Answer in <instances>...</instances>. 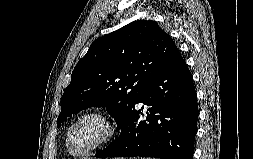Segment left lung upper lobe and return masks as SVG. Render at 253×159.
<instances>
[{
	"label": "left lung upper lobe",
	"instance_id": "obj_1",
	"mask_svg": "<svg viewBox=\"0 0 253 159\" xmlns=\"http://www.w3.org/2000/svg\"><path fill=\"white\" fill-rule=\"evenodd\" d=\"M178 52L156 22L137 20L95 40L75 66L61 99L57 126L89 107H106L118 128L147 84Z\"/></svg>",
	"mask_w": 253,
	"mask_h": 159
}]
</instances>
